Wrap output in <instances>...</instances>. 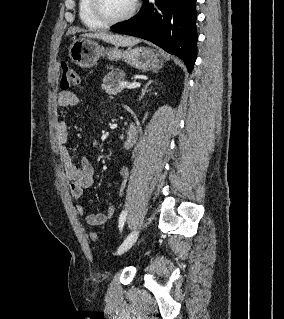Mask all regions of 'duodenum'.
<instances>
[{
    "label": "duodenum",
    "mask_w": 284,
    "mask_h": 319,
    "mask_svg": "<svg viewBox=\"0 0 284 319\" xmlns=\"http://www.w3.org/2000/svg\"><path fill=\"white\" fill-rule=\"evenodd\" d=\"M137 136H138V133H137L136 125L135 124L130 125L124 139V146L125 147L132 146L135 143Z\"/></svg>",
    "instance_id": "obj_1"
}]
</instances>
